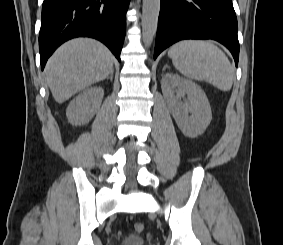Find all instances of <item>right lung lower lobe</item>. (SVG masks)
Instances as JSON below:
<instances>
[{"mask_svg":"<svg viewBox=\"0 0 283 245\" xmlns=\"http://www.w3.org/2000/svg\"><path fill=\"white\" fill-rule=\"evenodd\" d=\"M130 0H44L39 35L41 69L63 42L80 36L103 42L120 61Z\"/></svg>","mask_w":283,"mask_h":245,"instance_id":"obj_1","label":"right lung lower lobe"}]
</instances>
